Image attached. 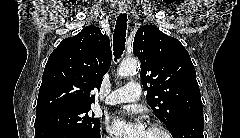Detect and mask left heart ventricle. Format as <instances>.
<instances>
[{"instance_id":"obj_1","label":"left heart ventricle","mask_w":240,"mask_h":138,"mask_svg":"<svg viewBox=\"0 0 240 138\" xmlns=\"http://www.w3.org/2000/svg\"><path fill=\"white\" fill-rule=\"evenodd\" d=\"M144 138H163V135L159 132L147 130Z\"/></svg>"}]
</instances>
